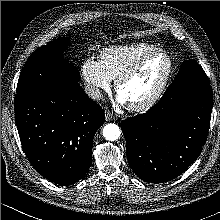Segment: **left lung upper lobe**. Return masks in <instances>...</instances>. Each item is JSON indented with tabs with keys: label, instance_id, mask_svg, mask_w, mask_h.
<instances>
[{
	"label": "left lung upper lobe",
	"instance_id": "1",
	"mask_svg": "<svg viewBox=\"0 0 220 220\" xmlns=\"http://www.w3.org/2000/svg\"><path fill=\"white\" fill-rule=\"evenodd\" d=\"M203 85H210L203 68L195 60H186L162 97H174L189 88Z\"/></svg>",
	"mask_w": 220,
	"mask_h": 220
}]
</instances>
